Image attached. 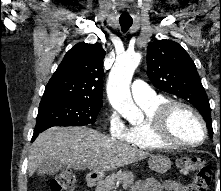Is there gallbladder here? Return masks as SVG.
<instances>
[{"mask_svg":"<svg viewBox=\"0 0 221 191\" xmlns=\"http://www.w3.org/2000/svg\"><path fill=\"white\" fill-rule=\"evenodd\" d=\"M61 162L51 159L43 161L37 168L38 175H53L58 173L62 169Z\"/></svg>","mask_w":221,"mask_h":191,"instance_id":"obj_1","label":"gallbladder"}]
</instances>
